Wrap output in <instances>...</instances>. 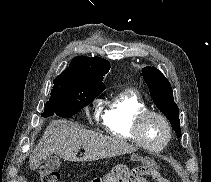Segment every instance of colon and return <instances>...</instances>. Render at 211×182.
<instances>
[{
  "mask_svg": "<svg viewBox=\"0 0 211 182\" xmlns=\"http://www.w3.org/2000/svg\"><path fill=\"white\" fill-rule=\"evenodd\" d=\"M39 177L41 182H59V174L44 166L39 168ZM108 174V175H107ZM102 178H95L90 182H141L144 177L151 176L155 182H169L162 176L159 167L153 164L127 168L118 166L112 169Z\"/></svg>",
  "mask_w": 211,
  "mask_h": 182,
  "instance_id": "obj_1",
  "label": "colon"
}]
</instances>
